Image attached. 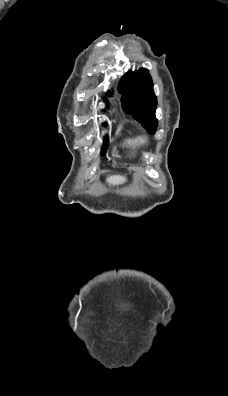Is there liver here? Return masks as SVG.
Returning a JSON list of instances; mask_svg holds the SVG:
<instances>
[{
  "label": "liver",
  "instance_id": "liver-1",
  "mask_svg": "<svg viewBox=\"0 0 228 396\" xmlns=\"http://www.w3.org/2000/svg\"><path fill=\"white\" fill-rule=\"evenodd\" d=\"M126 181V178L124 176L120 175H113L107 178V182L112 185H119L122 184Z\"/></svg>",
  "mask_w": 228,
  "mask_h": 396
}]
</instances>
